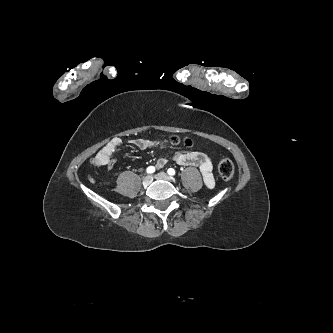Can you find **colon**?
Instances as JSON below:
<instances>
[{
	"label": "colon",
	"instance_id": "obj_1",
	"mask_svg": "<svg viewBox=\"0 0 333 333\" xmlns=\"http://www.w3.org/2000/svg\"><path fill=\"white\" fill-rule=\"evenodd\" d=\"M180 141L181 140L179 137L174 136L171 138L172 143L176 144V143H179ZM182 143L186 147H192L194 144L193 140L189 137L183 138ZM218 171H219L220 176L224 180L232 179V177L234 176V173H235V168H234L233 162L228 158L221 159L218 164Z\"/></svg>",
	"mask_w": 333,
	"mask_h": 333
}]
</instances>
